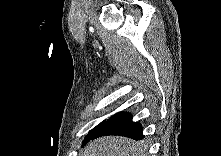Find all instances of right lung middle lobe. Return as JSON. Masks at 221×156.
Returning <instances> with one entry per match:
<instances>
[{
    "mask_svg": "<svg viewBox=\"0 0 221 156\" xmlns=\"http://www.w3.org/2000/svg\"><path fill=\"white\" fill-rule=\"evenodd\" d=\"M105 123V121L101 122L100 124H98L94 129H92L89 134L85 137L84 141H83V145L86 144L89 140H91L95 134L99 131V129L101 128V126Z\"/></svg>",
    "mask_w": 221,
    "mask_h": 156,
    "instance_id": "1",
    "label": "right lung middle lobe"
}]
</instances>
